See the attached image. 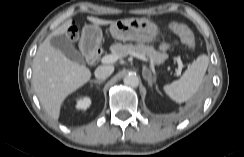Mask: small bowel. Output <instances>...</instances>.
<instances>
[{
	"instance_id": "obj_1",
	"label": "small bowel",
	"mask_w": 244,
	"mask_h": 157,
	"mask_svg": "<svg viewBox=\"0 0 244 157\" xmlns=\"http://www.w3.org/2000/svg\"><path fill=\"white\" fill-rule=\"evenodd\" d=\"M160 48H161V50H166L167 49V45L166 44H162Z\"/></svg>"
}]
</instances>
